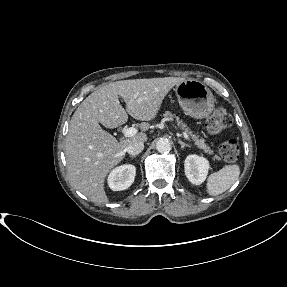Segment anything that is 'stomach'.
Returning a JSON list of instances; mask_svg holds the SVG:
<instances>
[{"mask_svg": "<svg viewBox=\"0 0 287 287\" xmlns=\"http://www.w3.org/2000/svg\"><path fill=\"white\" fill-rule=\"evenodd\" d=\"M175 93L185 114L202 119L208 117L215 100L210 89L202 82L188 79L176 85Z\"/></svg>", "mask_w": 287, "mask_h": 287, "instance_id": "1", "label": "stomach"}]
</instances>
